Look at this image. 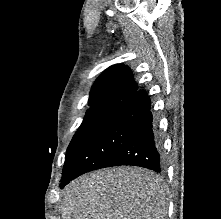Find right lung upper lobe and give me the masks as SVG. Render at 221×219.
<instances>
[{"mask_svg": "<svg viewBox=\"0 0 221 219\" xmlns=\"http://www.w3.org/2000/svg\"><path fill=\"white\" fill-rule=\"evenodd\" d=\"M137 92L130 69L116 64L106 69L94 83L90 92L89 104L102 101L121 102Z\"/></svg>", "mask_w": 221, "mask_h": 219, "instance_id": "right-lung-upper-lobe-1", "label": "right lung upper lobe"}]
</instances>
